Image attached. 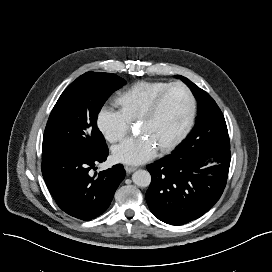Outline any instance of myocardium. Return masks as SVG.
<instances>
[{
    "mask_svg": "<svg viewBox=\"0 0 272 272\" xmlns=\"http://www.w3.org/2000/svg\"><path fill=\"white\" fill-rule=\"evenodd\" d=\"M173 88H181L186 93L189 103L188 113L180 129L167 142L159 147L161 152L172 148L187 133L193 123L196 113V99L191 89L182 82L170 83L152 99V101L149 103L145 111L138 119V122L141 123L152 118L158 111L166 94Z\"/></svg>",
    "mask_w": 272,
    "mask_h": 272,
    "instance_id": "f54148a6",
    "label": "myocardium"
}]
</instances>
